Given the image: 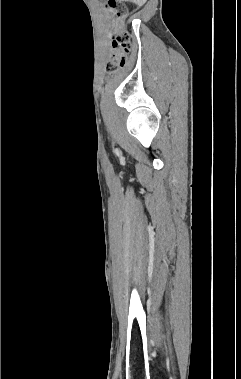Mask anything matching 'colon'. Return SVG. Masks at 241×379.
<instances>
[{
  "mask_svg": "<svg viewBox=\"0 0 241 379\" xmlns=\"http://www.w3.org/2000/svg\"><path fill=\"white\" fill-rule=\"evenodd\" d=\"M107 8L118 17H123L124 15V11L117 7L115 1H109ZM130 48L131 35L126 30H120L113 38L111 54L106 64V69L111 75L127 65Z\"/></svg>",
  "mask_w": 241,
  "mask_h": 379,
  "instance_id": "obj_1",
  "label": "colon"
}]
</instances>
